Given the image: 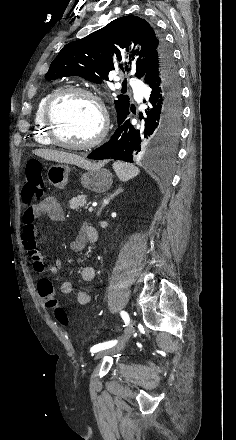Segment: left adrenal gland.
<instances>
[{
    "instance_id": "obj_1",
    "label": "left adrenal gland",
    "mask_w": 236,
    "mask_h": 440,
    "mask_svg": "<svg viewBox=\"0 0 236 440\" xmlns=\"http://www.w3.org/2000/svg\"><path fill=\"white\" fill-rule=\"evenodd\" d=\"M122 191H123V189H122L121 187H119L118 189H116V190L114 191L113 194H111L110 196H108V197H106V198L103 199L102 205H101V207L99 208V210H98V212H97V216H98V217L100 216L102 209H103L106 205H108V204L110 203V201H111L116 195H118L119 193H121Z\"/></svg>"
}]
</instances>
